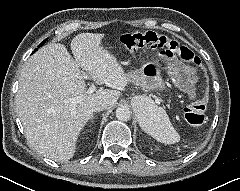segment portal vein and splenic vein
<instances>
[{"mask_svg":"<svg viewBox=\"0 0 240 191\" xmlns=\"http://www.w3.org/2000/svg\"><path fill=\"white\" fill-rule=\"evenodd\" d=\"M84 77H85L86 79L88 78L87 75H85ZM95 89H96L95 85H94V84H91L90 87H89L88 90H87V93H88V94H91V93H93V92L95 91ZM80 101H82V98H81L80 96L74 97V98H70V99L66 100L67 103H71V104H76V103H78V102H80Z\"/></svg>","mask_w":240,"mask_h":191,"instance_id":"18ae733b","label":"portal vein and splenic vein"}]
</instances>
